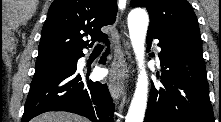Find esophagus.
<instances>
[{"instance_id":"34e87169","label":"esophagus","mask_w":221,"mask_h":122,"mask_svg":"<svg viewBox=\"0 0 221 122\" xmlns=\"http://www.w3.org/2000/svg\"><path fill=\"white\" fill-rule=\"evenodd\" d=\"M124 46L128 47V43H124ZM130 55L127 49H124L121 45L115 50V57L112 63V72L109 77V90L111 96L115 102L125 94V72L129 67Z\"/></svg>"}]
</instances>
